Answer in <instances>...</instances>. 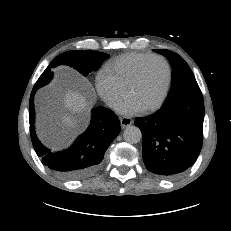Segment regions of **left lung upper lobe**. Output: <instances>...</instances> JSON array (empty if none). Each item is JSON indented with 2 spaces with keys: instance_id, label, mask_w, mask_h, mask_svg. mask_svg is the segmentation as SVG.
I'll return each mask as SVG.
<instances>
[{
  "instance_id": "obj_1",
  "label": "left lung upper lobe",
  "mask_w": 231,
  "mask_h": 231,
  "mask_svg": "<svg viewBox=\"0 0 231 231\" xmlns=\"http://www.w3.org/2000/svg\"><path fill=\"white\" fill-rule=\"evenodd\" d=\"M154 51L167 57L173 69L171 89L162 107L183 96L201 93L190 67L178 54L165 49H154Z\"/></svg>"
}]
</instances>
